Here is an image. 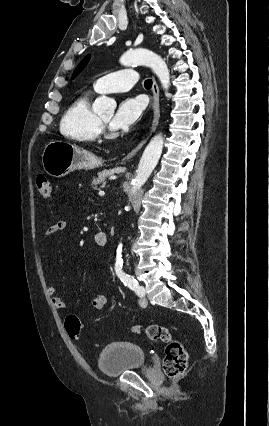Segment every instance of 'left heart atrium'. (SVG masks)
Instances as JSON below:
<instances>
[{"mask_svg": "<svg viewBox=\"0 0 269 426\" xmlns=\"http://www.w3.org/2000/svg\"><path fill=\"white\" fill-rule=\"evenodd\" d=\"M145 108L144 101L139 97L124 99L118 106L110 121V127L121 131L133 126L141 117Z\"/></svg>", "mask_w": 269, "mask_h": 426, "instance_id": "left-heart-atrium-1", "label": "left heart atrium"}]
</instances>
